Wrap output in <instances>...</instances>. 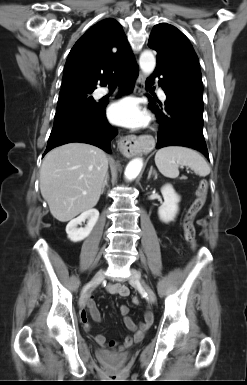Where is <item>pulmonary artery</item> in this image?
<instances>
[{
	"mask_svg": "<svg viewBox=\"0 0 247 385\" xmlns=\"http://www.w3.org/2000/svg\"><path fill=\"white\" fill-rule=\"evenodd\" d=\"M108 92H109V91H108L107 88H105V87H100V88H98V89L96 90V95H97L98 97H102V96L106 95ZM158 93H159L160 98L163 99V100H165L166 95H165L164 91H163L162 89L159 88V89H158Z\"/></svg>",
	"mask_w": 247,
	"mask_h": 385,
	"instance_id": "1",
	"label": "pulmonary artery"
}]
</instances>
